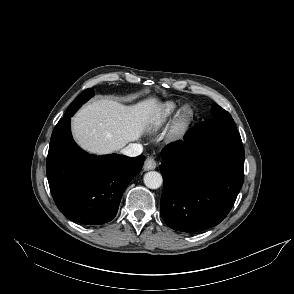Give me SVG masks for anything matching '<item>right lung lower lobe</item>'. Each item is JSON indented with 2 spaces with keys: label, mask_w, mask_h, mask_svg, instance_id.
Listing matches in <instances>:
<instances>
[{
  "label": "right lung lower lobe",
  "mask_w": 294,
  "mask_h": 294,
  "mask_svg": "<svg viewBox=\"0 0 294 294\" xmlns=\"http://www.w3.org/2000/svg\"><path fill=\"white\" fill-rule=\"evenodd\" d=\"M85 91L87 98L94 94L93 88ZM70 121L71 116L60 119L51 136L46 162L51 194L62 214L74 222H109L129 182L141 171L144 156L90 155L74 142Z\"/></svg>",
  "instance_id": "1"
}]
</instances>
